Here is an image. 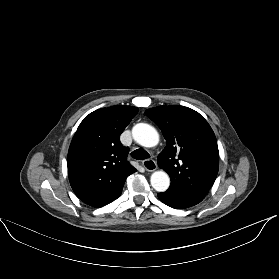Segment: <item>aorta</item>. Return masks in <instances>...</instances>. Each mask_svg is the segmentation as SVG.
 Segmentation results:
<instances>
[{"label":"aorta","mask_w":279,"mask_h":279,"mask_svg":"<svg viewBox=\"0 0 279 279\" xmlns=\"http://www.w3.org/2000/svg\"><path fill=\"white\" fill-rule=\"evenodd\" d=\"M133 139L145 147L156 146L159 142L158 132L154 127L146 123L136 124L132 129ZM150 182L152 187L158 192H164L170 185V178L164 171L152 173Z\"/></svg>","instance_id":"1"}]
</instances>
